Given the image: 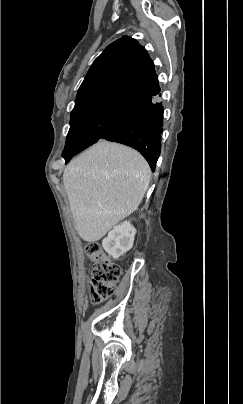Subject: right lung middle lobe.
Instances as JSON below:
<instances>
[{
	"label": "right lung middle lobe",
	"mask_w": 243,
	"mask_h": 404,
	"mask_svg": "<svg viewBox=\"0 0 243 404\" xmlns=\"http://www.w3.org/2000/svg\"><path fill=\"white\" fill-rule=\"evenodd\" d=\"M126 103L106 100L74 109L71 112L70 130L62 153L66 163L73 156L96 143Z\"/></svg>",
	"instance_id": "right-lung-middle-lobe-1"
}]
</instances>
